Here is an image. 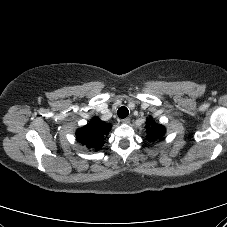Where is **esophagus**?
Segmentation results:
<instances>
[{
	"label": "esophagus",
	"mask_w": 227,
	"mask_h": 227,
	"mask_svg": "<svg viewBox=\"0 0 227 227\" xmlns=\"http://www.w3.org/2000/svg\"><path fill=\"white\" fill-rule=\"evenodd\" d=\"M123 124H128L130 122V118H124L121 120Z\"/></svg>",
	"instance_id": "34e87169"
}]
</instances>
